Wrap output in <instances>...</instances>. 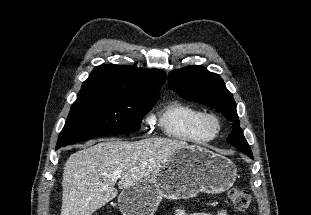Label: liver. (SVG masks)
<instances>
[{"label": "liver", "mask_w": 311, "mask_h": 215, "mask_svg": "<svg viewBox=\"0 0 311 215\" xmlns=\"http://www.w3.org/2000/svg\"><path fill=\"white\" fill-rule=\"evenodd\" d=\"M188 146L181 140L155 137L135 142L104 140L75 152L64 165L61 215H92L118 194L113 172L122 170L118 187L129 188Z\"/></svg>", "instance_id": "1"}]
</instances>
